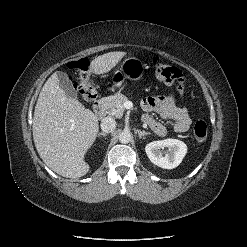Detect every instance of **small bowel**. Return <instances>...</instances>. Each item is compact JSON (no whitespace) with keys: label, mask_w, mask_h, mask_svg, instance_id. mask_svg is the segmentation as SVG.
<instances>
[{"label":"small bowel","mask_w":247,"mask_h":247,"mask_svg":"<svg viewBox=\"0 0 247 247\" xmlns=\"http://www.w3.org/2000/svg\"><path fill=\"white\" fill-rule=\"evenodd\" d=\"M177 93L180 98H183L184 91L182 86L178 87ZM141 106L146 112L143 116V122L159 136H164L166 134V127L148 113L155 112L163 119L172 121L173 129L177 133L186 132L191 125V118L187 108L177 104L176 96L174 94L144 98Z\"/></svg>","instance_id":"obj_1"}]
</instances>
